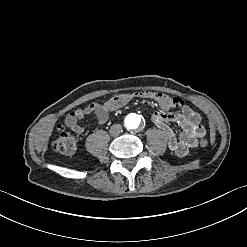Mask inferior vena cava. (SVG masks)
I'll return each mask as SVG.
<instances>
[{"instance_id":"obj_1","label":"inferior vena cava","mask_w":247,"mask_h":247,"mask_svg":"<svg viewBox=\"0 0 247 247\" xmlns=\"http://www.w3.org/2000/svg\"><path fill=\"white\" fill-rule=\"evenodd\" d=\"M122 130V126L120 124H114L110 128V134L113 136L118 135Z\"/></svg>"}]
</instances>
